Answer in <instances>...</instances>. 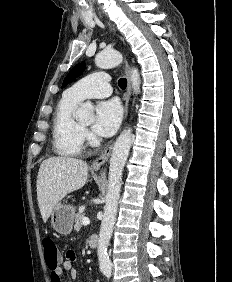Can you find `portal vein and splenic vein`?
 Returning <instances> with one entry per match:
<instances>
[{
	"instance_id": "1",
	"label": "portal vein and splenic vein",
	"mask_w": 232,
	"mask_h": 282,
	"mask_svg": "<svg viewBox=\"0 0 232 282\" xmlns=\"http://www.w3.org/2000/svg\"><path fill=\"white\" fill-rule=\"evenodd\" d=\"M82 224H83V225H88V224H90L89 218H88V217H84V218L82 219Z\"/></svg>"
}]
</instances>
